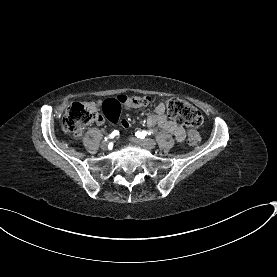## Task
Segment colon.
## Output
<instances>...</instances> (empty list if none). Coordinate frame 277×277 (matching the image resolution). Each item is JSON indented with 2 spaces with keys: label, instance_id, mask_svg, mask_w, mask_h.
<instances>
[{
  "label": "colon",
  "instance_id": "colon-1",
  "mask_svg": "<svg viewBox=\"0 0 277 277\" xmlns=\"http://www.w3.org/2000/svg\"><path fill=\"white\" fill-rule=\"evenodd\" d=\"M119 106L125 110L134 107H146L150 104L149 97H130L120 95ZM102 106L98 100H89L86 104L74 102L64 112L62 124L65 130L75 139H79L84 128L96 120H104L101 112ZM168 115L176 119L177 122L184 124L188 129L187 141L192 146H197L201 141L200 133L197 128L201 125L203 117L201 113L189 103L179 98H171L166 106Z\"/></svg>",
  "mask_w": 277,
  "mask_h": 277
}]
</instances>
